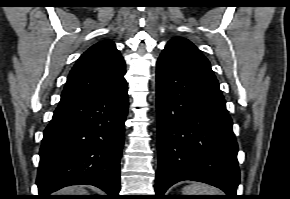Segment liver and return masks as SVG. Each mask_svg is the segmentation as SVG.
<instances>
[{"label": "liver", "mask_w": 290, "mask_h": 199, "mask_svg": "<svg viewBox=\"0 0 290 199\" xmlns=\"http://www.w3.org/2000/svg\"><path fill=\"white\" fill-rule=\"evenodd\" d=\"M63 195H86L88 193L82 186H70L62 189Z\"/></svg>", "instance_id": "liver-1"}]
</instances>
